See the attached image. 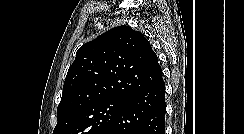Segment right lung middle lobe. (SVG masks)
I'll list each match as a JSON object with an SVG mask.
<instances>
[{
    "instance_id": "dd1d6c3e",
    "label": "right lung middle lobe",
    "mask_w": 244,
    "mask_h": 134,
    "mask_svg": "<svg viewBox=\"0 0 244 134\" xmlns=\"http://www.w3.org/2000/svg\"><path fill=\"white\" fill-rule=\"evenodd\" d=\"M128 99L112 97L80 108L59 119L53 134H102L118 116Z\"/></svg>"
}]
</instances>
